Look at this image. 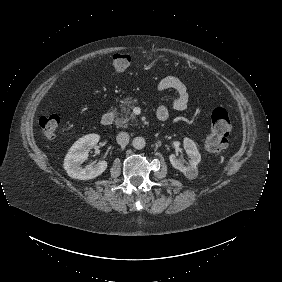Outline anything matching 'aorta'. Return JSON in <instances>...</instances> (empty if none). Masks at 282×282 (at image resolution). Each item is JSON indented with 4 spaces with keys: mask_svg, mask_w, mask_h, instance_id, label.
Masks as SVG:
<instances>
[{
    "mask_svg": "<svg viewBox=\"0 0 282 282\" xmlns=\"http://www.w3.org/2000/svg\"><path fill=\"white\" fill-rule=\"evenodd\" d=\"M132 145L135 149L141 150L146 146V141L143 137H135L132 141Z\"/></svg>",
    "mask_w": 282,
    "mask_h": 282,
    "instance_id": "1",
    "label": "aorta"
}]
</instances>
